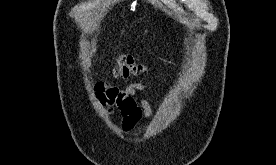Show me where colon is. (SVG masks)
<instances>
[{
	"label": "colon",
	"mask_w": 276,
	"mask_h": 165,
	"mask_svg": "<svg viewBox=\"0 0 276 165\" xmlns=\"http://www.w3.org/2000/svg\"><path fill=\"white\" fill-rule=\"evenodd\" d=\"M145 70L146 67L139 61L136 55L125 54L116 60L112 73L115 77L127 79Z\"/></svg>",
	"instance_id": "1"
}]
</instances>
